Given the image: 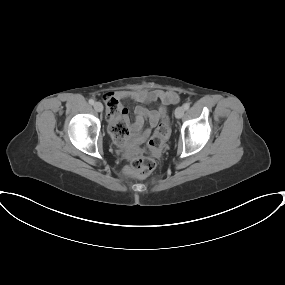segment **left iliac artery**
Instances as JSON below:
<instances>
[{"label": "left iliac artery", "instance_id": "44dca946", "mask_svg": "<svg viewBox=\"0 0 285 285\" xmlns=\"http://www.w3.org/2000/svg\"><path fill=\"white\" fill-rule=\"evenodd\" d=\"M183 107H184V110H188V109L190 108V105H189L188 103H185V104L183 105Z\"/></svg>", "mask_w": 285, "mask_h": 285}]
</instances>
